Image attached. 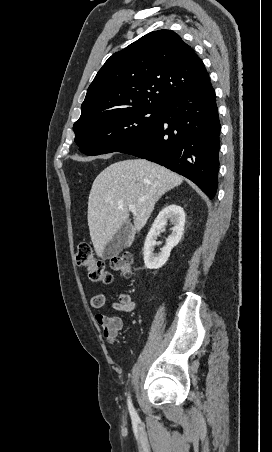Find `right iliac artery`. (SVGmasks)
<instances>
[{"label": "right iliac artery", "mask_w": 272, "mask_h": 452, "mask_svg": "<svg viewBox=\"0 0 272 452\" xmlns=\"http://www.w3.org/2000/svg\"><path fill=\"white\" fill-rule=\"evenodd\" d=\"M128 408H129V412H130L131 417H132L133 419H137L138 416H137V413H136L135 410H134V407H133V405H132L130 396H128Z\"/></svg>", "instance_id": "1"}]
</instances>
